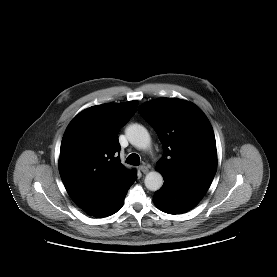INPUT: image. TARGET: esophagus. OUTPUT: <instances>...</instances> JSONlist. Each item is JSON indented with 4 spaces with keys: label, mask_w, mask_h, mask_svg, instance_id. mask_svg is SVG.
<instances>
[{
    "label": "esophagus",
    "mask_w": 277,
    "mask_h": 277,
    "mask_svg": "<svg viewBox=\"0 0 277 277\" xmlns=\"http://www.w3.org/2000/svg\"><path fill=\"white\" fill-rule=\"evenodd\" d=\"M139 170H140L142 173L146 174V173H148V171H149V167L146 166V165H141V166L139 167Z\"/></svg>",
    "instance_id": "obj_1"
}]
</instances>
